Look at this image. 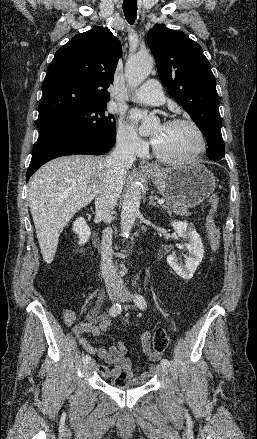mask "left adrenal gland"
<instances>
[{"mask_svg":"<svg viewBox=\"0 0 257 439\" xmlns=\"http://www.w3.org/2000/svg\"><path fill=\"white\" fill-rule=\"evenodd\" d=\"M148 205L158 206V204L154 200V193L153 192L149 196V203H148Z\"/></svg>","mask_w":257,"mask_h":439,"instance_id":"left-adrenal-gland-1","label":"left adrenal gland"}]
</instances>
